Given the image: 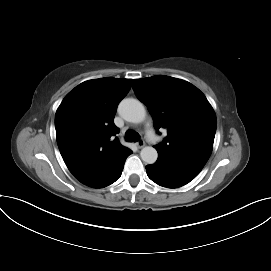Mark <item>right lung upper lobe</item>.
Segmentation results:
<instances>
[{"mask_svg": "<svg viewBox=\"0 0 271 271\" xmlns=\"http://www.w3.org/2000/svg\"><path fill=\"white\" fill-rule=\"evenodd\" d=\"M132 79L88 80L68 93L55 115L57 143L70 172L90 185L105 177L130 151L114 124L118 103Z\"/></svg>", "mask_w": 271, "mask_h": 271, "instance_id": "obj_1", "label": "right lung upper lobe"}]
</instances>
